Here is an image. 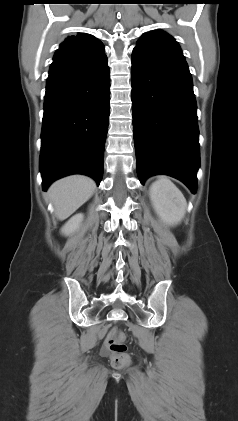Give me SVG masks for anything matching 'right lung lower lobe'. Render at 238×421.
<instances>
[{
	"instance_id": "obj_1",
	"label": "right lung lower lobe",
	"mask_w": 238,
	"mask_h": 421,
	"mask_svg": "<svg viewBox=\"0 0 238 421\" xmlns=\"http://www.w3.org/2000/svg\"><path fill=\"white\" fill-rule=\"evenodd\" d=\"M109 89L106 55L51 64L41 133L43 190L56 179L76 173L88 175L100 184Z\"/></svg>"
}]
</instances>
